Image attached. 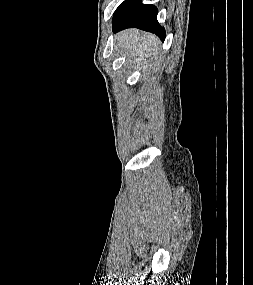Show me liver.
<instances>
[{
    "label": "liver",
    "mask_w": 253,
    "mask_h": 285,
    "mask_svg": "<svg viewBox=\"0 0 253 285\" xmlns=\"http://www.w3.org/2000/svg\"><path fill=\"white\" fill-rule=\"evenodd\" d=\"M119 46L134 59L137 64L145 63L146 58H152L157 52L156 44L159 43L155 35L141 33L136 29H128L120 33Z\"/></svg>",
    "instance_id": "1"
}]
</instances>
